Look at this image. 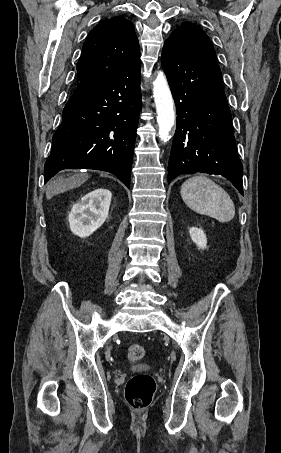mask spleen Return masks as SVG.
I'll list each match as a JSON object with an SVG mask.
<instances>
[{
  "instance_id": "3e777b00",
  "label": "spleen",
  "mask_w": 281,
  "mask_h": 453,
  "mask_svg": "<svg viewBox=\"0 0 281 453\" xmlns=\"http://www.w3.org/2000/svg\"><path fill=\"white\" fill-rule=\"evenodd\" d=\"M181 196L192 210L208 214L219 222H229L235 214V206L228 192L208 176H192L181 186Z\"/></svg>"
}]
</instances>
